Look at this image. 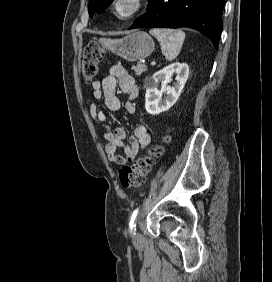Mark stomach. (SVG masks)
<instances>
[{
    "label": "stomach",
    "instance_id": "obj_1",
    "mask_svg": "<svg viewBox=\"0 0 272 282\" xmlns=\"http://www.w3.org/2000/svg\"><path fill=\"white\" fill-rule=\"evenodd\" d=\"M104 46L127 61L148 57L154 50L153 39L143 31L133 32L120 39H102Z\"/></svg>",
    "mask_w": 272,
    "mask_h": 282
}]
</instances>
